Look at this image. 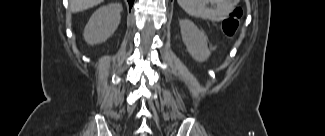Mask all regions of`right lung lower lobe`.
Segmentation results:
<instances>
[{"instance_id":"obj_1","label":"right lung lower lobe","mask_w":325,"mask_h":136,"mask_svg":"<svg viewBox=\"0 0 325 136\" xmlns=\"http://www.w3.org/2000/svg\"><path fill=\"white\" fill-rule=\"evenodd\" d=\"M128 2H129V7H130V9H131V7H132V5H133V2H134V0H128Z\"/></svg>"}]
</instances>
